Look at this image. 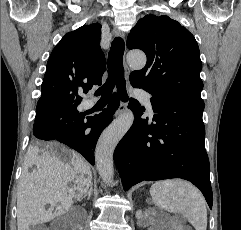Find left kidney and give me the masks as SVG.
Listing matches in <instances>:
<instances>
[{
    "label": "left kidney",
    "mask_w": 241,
    "mask_h": 230,
    "mask_svg": "<svg viewBox=\"0 0 241 230\" xmlns=\"http://www.w3.org/2000/svg\"><path fill=\"white\" fill-rule=\"evenodd\" d=\"M149 223H150L151 227L148 230H173V229L183 230V227H181L179 225H176L175 227H171V226L165 225V224L159 225L153 221H149Z\"/></svg>",
    "instance_id": "1"
}]
</instances>
